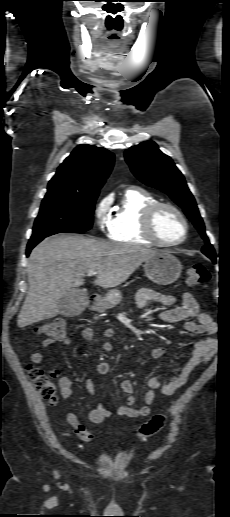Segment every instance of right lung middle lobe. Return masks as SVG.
I'll return each mask as SVG.
<instances>
[{
  "mask_svg": "<svg viewBox=\"0 0 230 517\" xmlns=\"http://www.w3.org/2000/svg\"><path fill=\"white\" fill-rule=\"evenodd\" d=\"M98 194L45 197L30 241L57 233H82L89 230L93 224Z\"/></svg>",
  "mask_w": 230,
  "mask_h": 517,
  "instance_id": "1",
  "label": "right lung middle lobe"
}]
</instances>
